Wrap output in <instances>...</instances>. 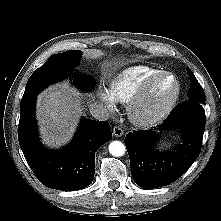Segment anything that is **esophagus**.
Segmentation results:
<instances>
[{
    "label": "esophagus",
    "mask_w": 221,
    "mask_h": 221,
    "mask_svg": "<svg viewBox=\"0 0 221 221\" xmlns=\"http://www.w3.org/2000/svg\"><path fill=\"white\" fill-rule=\"evenodd\" d=\"M124 131L119 126H115L113 128V135L116 137H121L123 135Z\"/></svg>",
    "instance_id": "esophagus-1"
}]
</instances>
